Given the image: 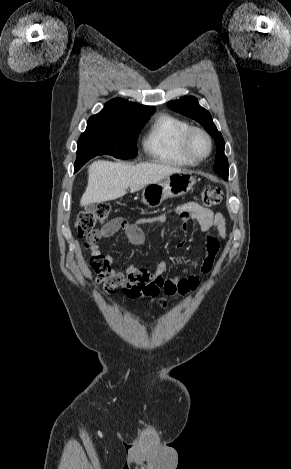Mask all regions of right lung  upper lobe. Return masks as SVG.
<instances>
[{
    "instance_id": "cb5924a9",
    "label": "right lung upper lobe",
    "mask_w": 291,
    "mask_h": 469,
    "mask_svg": "<svg viewBox=\"0 0 291 469\" xmlns=\"http://www.w3.org/2000/svg\"><path fill=\"white\" fill-rule=\"evenodd\" d=\"M154 110L153 106H144L122 98H114L106 103L101 112L90 118L112 120L141 119L150 117Z\"/></svg>"
}]
</instances>
